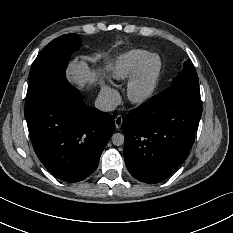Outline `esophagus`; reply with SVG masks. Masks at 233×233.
Masks as SVG:
<instances>
[{
  "label": "esophagus",
  "instance_id": "1",
  "mask_svg": "<svg viewBox=\"0 0 233 233\" xmlns=\"http://www.w3.org/2000/svg\"><path fill=\"white\" fill-rule=\"evenodd\" d=\"M122 121H123V118L121 115H118L116 118H115V126L117 129H119L122 125Z\"/></svg>",
  "mask_w": 233,
  "mask_h": 233
}]
</instances>
